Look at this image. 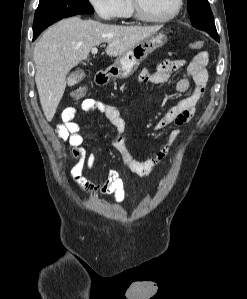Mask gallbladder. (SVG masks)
Returning <instances> with one entry per match:
<instances>
[{
  "mask_svg": "<svg viewBox=\"0 0 247 299\" xmlns=\"http://www.w3.org/2000/svg\"><path fill=\"white\" fill-rule=\"evenodd\" d=\"M82 74H83L82 71H76L74 73H71V75L68 78V84L70 86H73L75 83L81 80Z\"/></svg>",
  "mask_w": 247,
  "mask_h": 299,
  "instance_id": "gallbladder-1",
  "label": "gallbladder"
}]
</instances>
